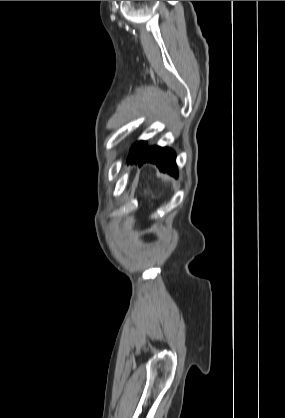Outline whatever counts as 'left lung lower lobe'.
<instances>
[{"label": "left lung lower lobe", "instance_id": "0a47b994", "mask_svg": "<svg viewBox=\"0 0 285 418\" xmlns=\"http://www.w3.org/2000/svg\"><path fill=\"white\" fill-rule=\"evenodd\" d=\"M128 163H137L141 166L145 162L155 163L162 172L177 176L178 170L175 162V152L170 148L154 146L145 147V141L136 142L130 149Z\"/></svg>", "mask_w": 285, "mask_h": 418}]
</instances>
